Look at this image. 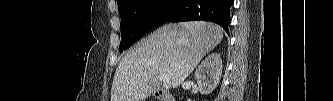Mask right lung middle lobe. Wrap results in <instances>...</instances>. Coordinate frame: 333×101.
I'll return each mask as SVG.
<instances>
[{"label": "right lung middle lobe", "mask_w": 333, "mask_h": 101, "mask_svg": "<svg viewBox=\"0 0 333 101\" xmlns=\"http://www.w3.org/2000/svg\"><path fill=\"white\" fill-rule=\"evenodd\" d=\"M171 0H119L121 43L119 51L129 48L154 25L161 23Z\"/></svg>", "instance_id": "1"}]
</instances>
